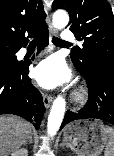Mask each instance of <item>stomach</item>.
Here are the masks:
<instances>
[{
	"label": "stomach",
	"mask_w": 114,
	"mask_h": 156,
	"mask_svg": "<svg viewBox=\"0 0 114 156\" xmlns=\"http://www.w3.org/2000/svg\"><path fill=\"white\" fill-rule=\"evenodd\" d=\"M64 141L80 156H100L110 136L102 121L83 119L64 128Z\"/></svg>",
	"instance_id": "1"
}]
</instances>
